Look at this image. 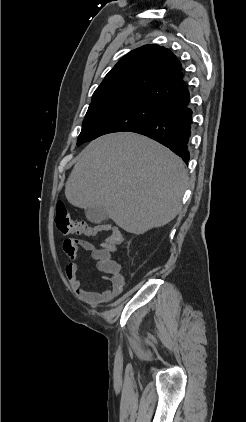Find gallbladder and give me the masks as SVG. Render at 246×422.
I'll use <instances>...</instances> for the list:
<instances>
[{"label": "gallbladder", "mask_w": 246, "mask_h": 422, "mask_svg": "<svg viewBox=\"0 0 246 422\" xmlns=\"http://www.w3.org/2000/svg\"><path fill=\"white\" fill-rule=\"evenodd\" d=\"M87 219L95 224L106 221L109 217L105 209L101 206L89 207L85 211Z\"/></svg>", "instance_id": "1"}]
</instances>
